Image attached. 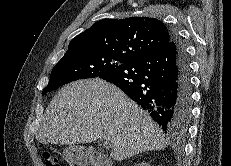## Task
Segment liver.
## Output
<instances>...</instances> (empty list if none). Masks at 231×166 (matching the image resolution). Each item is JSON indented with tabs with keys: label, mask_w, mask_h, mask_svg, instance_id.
I'll use <instances>...</instances> for the list:
<instances>
[{
	"label": "liver",
	"mask_w": 231,
	"mask_h": 166,
	"mask_svg": "<svg viewBox=\"0 0 231 166\" xmlns=\"http://www.w3.org/2000/svg\"><path fill=\"white\" fill-rule=\"evenodd\" d=\"M98 138L110 140L117 161L168 145L158 124L115 85L95 78L61 88L45 111L38 142L75 145Z\"/></svg>",
	"instance_id": "1"
}]
</instances>
